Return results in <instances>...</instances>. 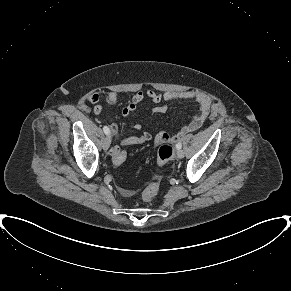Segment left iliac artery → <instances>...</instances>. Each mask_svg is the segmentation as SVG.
I'll use <instances>...</instances> for the list:
<instances>
[{"label": "left iliac artery", "mask_w": 291, "mask_h": 291, "mask_svg": "<svg viewBox=\"0 0 291 291\" xmlns=\"http://www.w3.org/2000/svg\"><path fill=\"white\" fill-rule=\"evenodd\" d=\"M176 148H177V149H181V148H182V144H181L180 142L177 143V144H176Z\"/></svg>", "instance_id": "1"}]
</instances>
